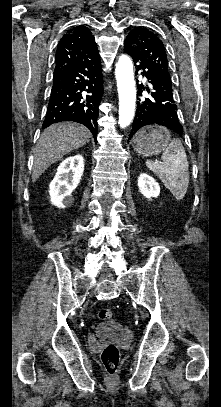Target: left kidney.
Masks as SVG:
<instances>
[{"instance_id":"left-kidney-1","label":"left kidney","mask_w":221,"mask_h":407,"mask_svg":"<svg viewBox=\"0 0 221 407\" xmlns=\"http://www.w3.org/2000/svg\"><path fill=\"white\" fill-rule=\"evenodd\" d=\"M138 187L140 193L148 199L152 197L156 198L160 194L159 184L154 178L145 173L140 174L138 178Z\"/></svg>"}]
</instances>
